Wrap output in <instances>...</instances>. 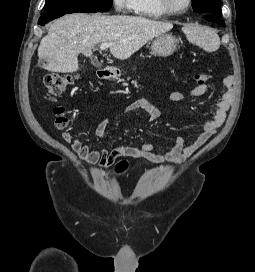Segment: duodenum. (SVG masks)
<instances>
[{"instance_id":"obj_1","label":"duodenum","mask_w":255,"mask_h":272,"mask_svg":"<svg viewBox=\"0 0 255 272\" xmlns=\"http://www.w3.org/2000/svg\"><path fill=\"white\" fill-rule=\"evenodd\" d=\"M116 72L108 67H100L97 70V77L101 80H110L116 77Z\"/></svg>"}]
</instances>
